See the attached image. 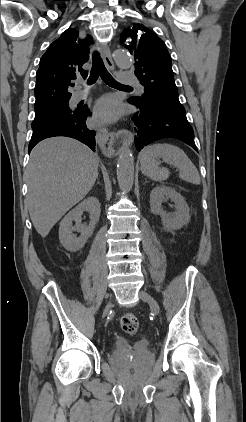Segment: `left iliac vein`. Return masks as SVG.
Masks as SVG:
<instances>
[{
    "mask_svg": "<svg viewBox=\"0 0 246 422\" xmlns=\"http://www.w3.org/2000/svg\"><path fill=\"white\" fill-rule=\"evenodd\" d=\"M139 296H140V298L143 301H145V302H147L149 304L152 312L155 315H158L159 314V312H160L159 304L157 303V301L150 294H148L145 291H140L139 292Z\"/></svg>",
    "mask_w": 246,
    "mask_h": 422,
    "instance_id": "left-iliac-vein-1",
    "label": "left iliac vein"
}]
</instances>
